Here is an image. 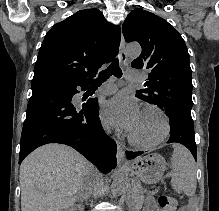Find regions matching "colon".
Wrapping results in <instances>:
<instances>
[{
	"instance_id": "1",
	"label": "colon",
	"mask_w": 219,
	"mask_h": 211,
	"mask_svg": "<svg viewBox=\"0 0 219 211\" xmlns=\"http://www.w3.org/2000/svg\"><path fill=\"white\" fill-rule=\"evenodd\" d=\"M158 204L164 211H176L177 201L168 195L158 197Z\"/></svg>"
}]
</instances>
